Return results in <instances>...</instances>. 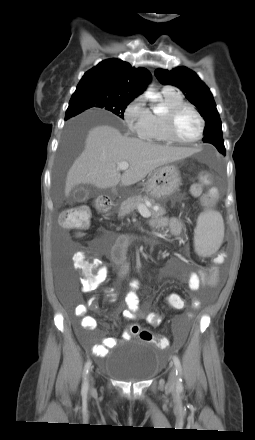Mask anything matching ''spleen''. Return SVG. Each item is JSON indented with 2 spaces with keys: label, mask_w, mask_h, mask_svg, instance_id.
<instances>
[{
  "label": "spleen",
  "mask_w": 255,
  "mask_h": 440,
  "mask_svg": "<svg viewBox=\"0 0 255 440\" xmlns=\"http://www.w3.org/2000/svg\"><path fill=\"white\" fill-rule=\"evenodd\" d=\"M224 223L220 213L205 211L198 216L194 235V247L199 256L215 253L222 244Z\"/></svg>",
  "instance_id": "obj_1"
}]
</instances>
